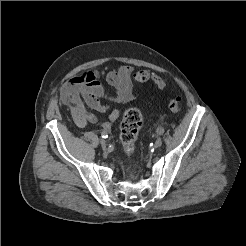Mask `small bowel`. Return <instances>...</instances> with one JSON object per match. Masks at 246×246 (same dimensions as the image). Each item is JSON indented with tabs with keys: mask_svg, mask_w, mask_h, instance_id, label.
Masks as SVG:
<instances>
[{
	"mask_svg": "<svg viewBox=\"0 0 246 246\" xmlns=\"http://www.w3.org/2000/svg\"><path fill=\"white\" fill-rule=\"evenodd\" d=\"M132 73L133 69L128 65L107 72L105 79L115 91L110 95L105 92L99 81L100 73L86 71L69 80L61 91L60 101L62 104L70 106L73 119L78 126L84 127L93 123L109 131L120 115L115 105L126 104L135 99ZM102 100H106L108 103H103ZM88 109L109 113L108 120L100 121Z\"/></svg>",
	"mask_w": 246,
	"mask_h": 246,
	"instance_id": "obj_1",
	"label": "small bowel"
}]
</instances>
